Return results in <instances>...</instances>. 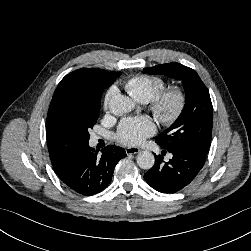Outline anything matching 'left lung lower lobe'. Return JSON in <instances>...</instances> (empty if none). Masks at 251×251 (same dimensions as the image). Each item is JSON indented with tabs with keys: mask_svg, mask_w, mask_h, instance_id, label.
<instances>
[{
	"mask_svg": "<svg viewBox=\"0 0 251 251\" xmlns=\"http://www.w3.org/2000/svg\"><path fill=\"white\" fill-rule=\"evenodd\" d=\"M163 149L162 153H172V159L164 163L162 155L156 156L154 166L144 174V179L159 192L175 193L193 181L204 166L206 155L188 146Z\"/></svg>",
	"mask_w": 251,
	"mask_h": 251,
	"instance_id": "obj_1",
	"label": "left lung lower lobe"
}]
</instances>
